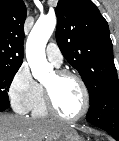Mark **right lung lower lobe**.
I'll use <instances>...</instances> for the list:
<instances>
[{"instance_id": "98d812e1", "label": "right lung lower lobe", "mask_w": 119, "mask_h": 141, "mask_svg": "<svg viewBox=\"0 0 119 141\" xmlns=\"http://www.w3.org/2000/svg\"><path fill=\"white\" fill-rule=\"evenodd\" d=\"M9 106H4V105H0V111H4L6 108H8Z\"/></svg>"}]
</instances>
